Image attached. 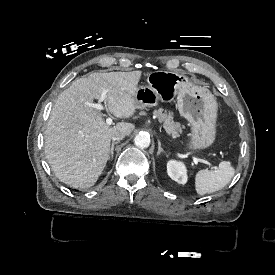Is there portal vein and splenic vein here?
<instances>
[{"label": "portal vein and splenic vein", "instance_id": "18ae733b", "mask_svg": "<svg viewBox=\"0 0 275 275\" xmlns=\"http://www.w3.org/2000/svg\"><path fill=\"white\" fill-rule=\"evenodd\" d=\"M104 99H105V94H102V96L98 99V101L96 103L92 104V106L94 108H96L97 110H99V111H106V112H108L107 107L104 106V104H103V100ZM112 121L113 120H112L111 117H109V116L106 117V123L107 124H111ZM193 161H194L195 165H198V162H199V163H204V164L210 166L211 169H215V166L212 163H210L209 161H207V160H200V159H197V158H193Z\"/></svg>", "mask_w": 275, "mask_h": 275}]
</instances>
